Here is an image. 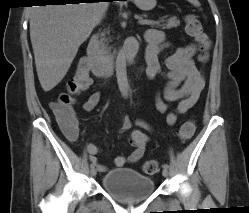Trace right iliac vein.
<instances>
[{"mask_svg":"<svg viewBox=\"0 0 249 213\" xmlns=\"http://www.w3.org/2000/svg\"><path fill=\"white\" fill-rule=\"evenodd\" d=\"M90 174H91L92 176H95V175L97 174V170H96L95 168H91Z\"/></svg>","mask_w":249,"mask_h":213,"instance_id":"1","label":"right iliac vein"}]
</instances>
